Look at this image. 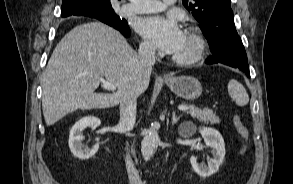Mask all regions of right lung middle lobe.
<instances>
[{"mask_svg":"<svg viewBox=\"0 0 293 184\" xmlns=\"http://www.w3.org/2000/svg\"><path fill=\"white\" fill-rule=\"evenodd\" d=\"M80 6L87 11L93 12L97 15H101L106 19L120 20V18L115 14L114 10H108L104 5L95 1H80Z\"/></svg>","mask_w":293,"mask_h":184,"instance_id":"right-lung-middle-lobe-1","label":"right lung middle lobe"}]
</instances>
